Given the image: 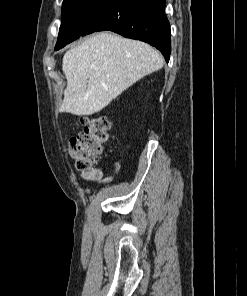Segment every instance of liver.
<instances>
[{
  "label": "liver",
  "mask_w": 247,
  "mask_h": 296,
  "mask_svg": "<svg viewBox=\"0 0 247 296\" xmlns=\"http://www.w3.org/2000/svg\"><path fill=\"white\" fill-rule=\"evenodd\" d=\"M163 66L147 43L101 32L68 50L62 70L67 80L61 112L92 115L141 78Z\"/></svg>",
  "instance_id": "1"
}]
</instances>
